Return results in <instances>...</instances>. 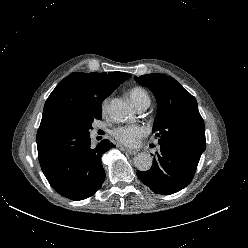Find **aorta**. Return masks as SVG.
I'll return each instance as SVG.
<instances>
[{
	"instance_id": "obj_1",
	"label": "aorta",
	"mask_w": 248,
	"mask_h": 248,
	"mask_svg": "<svg viewBox=\"0 0 248 248\" xmlns=\"http://www.w3.org/2000/svg\"><path fill=\"white\" fill-rule=\"evenodd\" d=\"M109 114L116 122H125L134 115L133 108L124 100L115 98L110 102ZM134 166L139 171H148L152 166V157L150 154L141 152L134 157Z\"/></svg>"
}]
</instances>
